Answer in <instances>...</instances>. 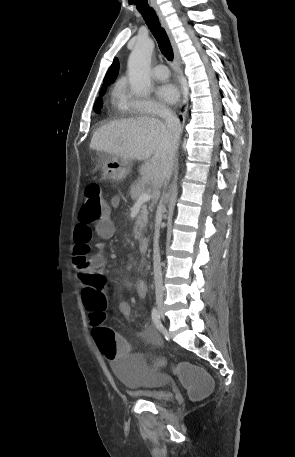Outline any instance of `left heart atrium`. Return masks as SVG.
<instances>
[{"label":"left heart atrium","mask_w":295,"mask_h":457,"mask_svg":"<svg viewBox=\"0 0 295 457\" xmlns=\"http://www.w3.org/2000/svg\"><path fill=\"white\" fill-rule=\"evenodd\" d=\"M158 96L163 102L172 104L178 100L179 93L173 84L165 83L158 88Z\"/></svg>","instance_id":"1"}]
</instances>
